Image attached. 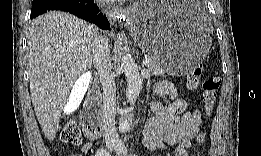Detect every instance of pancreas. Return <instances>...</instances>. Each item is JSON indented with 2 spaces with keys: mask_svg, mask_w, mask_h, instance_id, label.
Segmentation results:
<instances>
[{
  "mask_svg": "<svg viewBox=\"0 0 261 156\" xmlns=\"http://www.w3.org/2000/svg\"><path fill=\"white\" fill-rule=\"evenodd\" d=\"M150 62L147 64V68L153 75H162L166 72V69L161 66L152 56L148 55Z\"/></svg>",
  "mask_w": 261,
  "mask_h": 156,
  "instance_id": "1",
  "label": "pancreas"
}]
</instances>
